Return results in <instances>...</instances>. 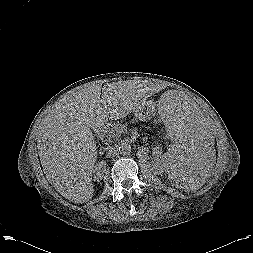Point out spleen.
I'll list each match as a JSON object with an SVG mask.
<instances>
[{
    "label": "spleen",
    "mask_w": 253,
    "mask_h": 253,
    "mask_svg": "<svg viewBox=\"0 0 253 253\" xmlns=\"http://www.w3.org/2000/svg\"><path fill=\"white\" fill-rule=\"evenodd\" d=\"M156 111L173 141L164 155L171 178L180 188L198 189L213 169L216 130L211 117L176 91L161 95Z\"/></svg>",
    "instance_id": "obj_1"
}]
</instances>
